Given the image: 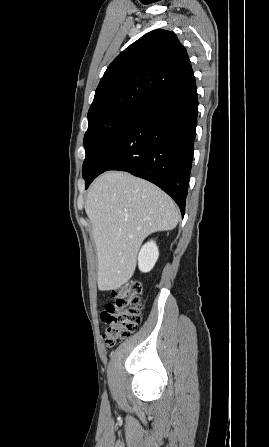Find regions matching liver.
<instances>
[{
	"label": "liver",
	"instance_id": "6515ba94",
	"mask_svg": "<svg viewBox=\"0 0 269 447\" xmlns=\"http://www.w3.org/2000/svg\"><path fill=\"white\" fill-rule=\"evenodd\" d=\"M97 247L99 289H117L132 277L139 247L153 231L174 229L179 212L160 188L123 172L93 182L85 204Z\"/></svg>",
	"mask_w": 269,
	"mask_h": 447
}]
</instances>
